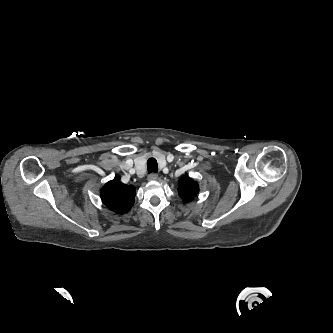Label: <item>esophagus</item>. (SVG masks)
I'll use <instances>...</instances> for the list:
<instances>
[{"mask_svg":"<svg viewBox=\"0 0 333 333\" xmlns=\"http://www.w3.org/2000/svg\"><path fill=\"white\" fill-rule=\"evenodd\" d=\"M158 179V175L156 173H151L148 175L149 181H156Z\"/></svg>","mask_w":333,"mask_h":333,"instance_id":"esophagus-1","label":"esophagus"}]
</instances>
